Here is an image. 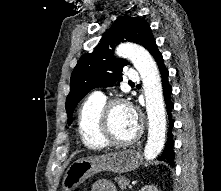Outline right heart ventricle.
I'll use <instances>...</instances> for the list:
<instances>
[{
  "mask_svg": "<svg viewBox=\"0 0 221 191\" xmlns=\"http://www.w3.org/2000/svg\"><path fill=\"white\" fill-rule=\"evenodd\" d=\"M105 103V98L91 95L80 106L78 131L82 143L89 149H103L108 146L100 136V116Z\"/></svg>",
  "mask_w": 221,
  "mask_h": 191,
  "instance_id": "obj_1",
  "label": "right heart ventricle"
}]
</instances>
